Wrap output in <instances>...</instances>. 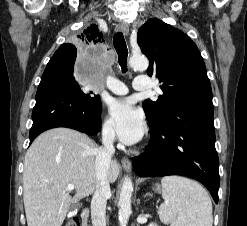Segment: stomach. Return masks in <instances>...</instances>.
Returning <instances> with one entry per match:
<instances>
[{"instance_id":"0dacf381","label":"stomach","mask_w":247,"mask_h":226,"mask_svg":"<svg viewBox=\"0 0 247 226\" xmlns=\"http://www.w3.org/2000/svg\"><path fill=\"white\" fill-rule=\"evenodd\" d=\"M154 190L157 191V192H160V187H159V185H156V186L154 187Z\"/></svg>"}]
</instances>
